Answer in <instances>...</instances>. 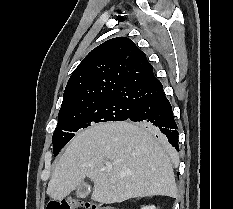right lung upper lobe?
Wrapping results in <instances>:
<instances>
[{
  "label": "right lung upper lobe",
  "mask_w": 233,
  "mask_h": 209,
  "mask_svg": "<svg viewBox=\"0 0 233 209\" xmlns=\"http://www.w3.org/2000/svg\"><path fill=\"white\" fill-rule=\"evenodd\" d=\"M162 90L145 53L130 39L117 37L93 49L74 70L66 85L59 115L103 99L139 105Z\"/></svg>",
  "instance_id": "obj_1"
}]
</instances>
